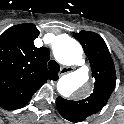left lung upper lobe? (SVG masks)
I'll return each mask as SVG.
<instances>
[{"label":"left lung upper lobe","instance_id":"left-lung-upper-lobe-1","mask_svg":"<svg viewBox=\"0 0 124 124\" xmlns=\"http://www.w3.org/2000/svg\"><path fill=\"white\" fill-rule=\"evenodd\" d=\"M90 61L95 78L93 92L85 99L72 101L58 97L56 107L61 116L71 122H82L100 111L116 85V72L109 50L100 35L90 31L74 33Z\"/></svg>","mask_w":124,"mask_h":124}]
</instances>
